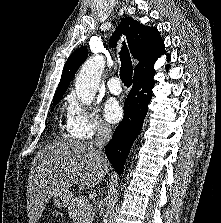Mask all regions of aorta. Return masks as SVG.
I'll list each match as a JSON object with an SVG mask.
<instances>
[{"label":"aorta","mask_w":221,"mask_h":223,"mask_svg":"<svg viewBox=\"0 0 221 223\" xmlns=\"http://www.w3.org/2000/svg\"><path fill=\"white\" fill-rule=\"evenodd\" d=\"M104 67L105 60L100 55L89 58L82 65L75 81L76 95L82 104L88 106L94 100Z\"/></svg>","instance_id":"762f6f07"}]
</instances>
